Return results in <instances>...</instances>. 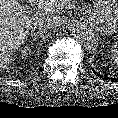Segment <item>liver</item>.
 <instances>
[{"label": "liver", "instance_id": "6515ba94", "mask_svg": "<svg viewBox=\"0 0 118 118\" xmlns=\"http://www.w3.org/2000/svg\"><path fill=\"white\" fill-rule=\"evenodd\" d=\"M37 4L40 0H29ZM43 12L34 15L25 14L17 0H0V68L9 70V64L14 61L16 51L24 45L28 36L37 28V21L42 17H51L61 24L63 17L56 15L70 0H41ZM50 3V4H46Z\"/></svg>", "mask_w": 118, "mask_h": 118}]
</instances>
